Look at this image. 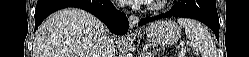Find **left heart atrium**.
Returning a JSON list of instances; mask_svg holds the SVG:
<instances>
[{
	"instance_id": "obj_1",
	"label": "left heart atrium",
	"mask_w": 249,
	"mask_h": 57,
	"mask_svg": "<svg viewBox=\"0 0 249 57\" xmlns=\"http://www.w3.org/2000/svg\"><path fill=\"white\" fill-rule=\"evenodd\" d=\"M128 2L136 3V4H144V3H150L151 0H129Z\"/></svg>"
}]
</instances>
